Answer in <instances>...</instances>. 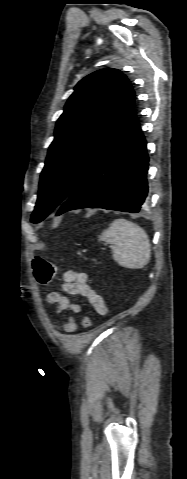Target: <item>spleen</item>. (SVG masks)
<instances>
[{"label":"spleen","mask_w":187,"mask_h":479,"mask_svg":"<svg viewBox=\"0 0 187 479\" xmlns=\"http://www.w3.org/2000/svg\"><path fill=\"white\" fill-rule=\"evenodd\" d=\"M99 240L112 248L113 259L122 267L141 269L151 258L149 237L138 224L116 219L102 232Z\"/></svg>","instance_id":"1"}]
</instances>
